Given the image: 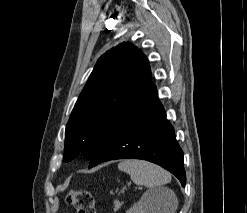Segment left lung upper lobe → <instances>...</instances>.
<instances>
[{"mask_svg":"<svg viewBox=\"0 0 247 213\" xmlns=\"http://www.w3.org/2000/svg\"><path fill=\"white\" fill-rule=\"evenodd\" d=\"M149 74L145 55L130 43L123 42L98 59L67 123L64 161L80 153L90 160L111 126L138 97Z\"/></svg>","mask_w":247,"mask_h":213,"instance_id":"1","label":"left lung upper lobe"}]
</instances>
